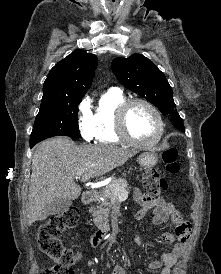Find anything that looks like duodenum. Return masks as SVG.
Returning <instances> with one entry per match:
<instances>
[{"label": "duodenum", "instance_id": "1", "mask_svg": "<svg viewBox=\"0 0 221 274\" xmlns=\"http://www.w3.org/2000/svg\"><path fill=\"white\" fill-rule=\"evenodd\" d=\"M95 196L94 190H86L82 193L81 200L83 203H89L92 201V199ZM108 229L106 227H103L99 230H97L95 233H93L90 236V244L93 247L98 246L107 236Z\"/></svg>", "mask_w": 221, "mask_h": 274}]
</instances>
